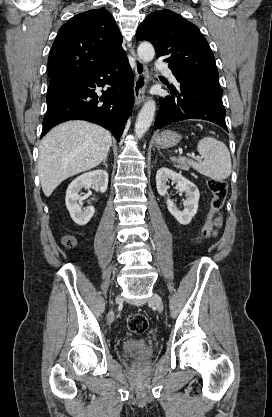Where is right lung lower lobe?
Instances as JSON below:
<instances>
[{
	"mask_svg": "<svg viewBox=\"0 0 272 417\" xmlns=\"http://www.w3.org/2000/svg\"><path fill=\"white\" fill-rule=\"evenodd\" d=\"M133 86L125 52L95 71L51 81L41 138L57 124L79 119L101 125L119 141L134 105Z\"/></svg>",
	"mask_w": 272,
	"mask_h": 417,
	"instance_id": "98d812e1",
	"label": "right lung lower lobe"
}]
</instances>
